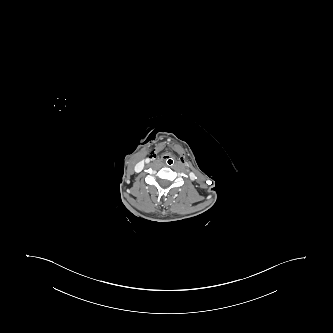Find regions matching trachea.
Here are the masks:
<instances>
[{"mask_svg":"<svg viewBox=\"0 0 333 333\" xmlns=\"http://www.w3.org/2000/svg\"><path fill=\"white\" fill-rule=\"evenodd\" d=\"M163 163L166 167L171 168L175 165L176 163V157L172 153H167L163 157Z\"/></svg>","mask_w":333,"mask_h":333,"instance_id":"obj_1","label":"trachea"}]
</instances>
